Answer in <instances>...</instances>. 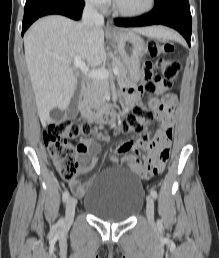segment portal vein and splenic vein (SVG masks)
I'll list each match as a JSON object with an SVG mask.
<instances>
[{
  "label": "portal vein and splenic vein",
  "instance_id": "18ae733b",
  "mask_svg": "<svg viewBox=\"0 0 219 258\" xmlns=\"http://www.w3.org/2000/svg\"><path fill=\"white\" fill-rule=\"evenodd\" d=\"M73 66L75 68H78L81 70L83 74H85L88 77L94 78V79H106L109 77V72L106 69H92L90 70L86 64L81 60L80 57H75ZM113 74L117 75L119 73V70L117 68H113Z\"/></svg>",
  "mask_w": 219,
  "mask_h": 258
}]
</instances>
